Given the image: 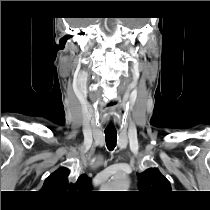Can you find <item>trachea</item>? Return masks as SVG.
<instances>
[{
    "instance_id": "3493384b",
    "label": "trachea",
    "mask_w": 210,
    "mask_h": 210,
    "mask_svg": "<svg viewBox=\"0 0 210 210\" xmlns=\"http://www.w3.org/2000/svg\"><path fill=\"white\" fill-rule=\"evenodd\" d=\"M106 146L109 150H113L117 142V132L116 131H105Z\"/></svg>"
}]
</instances>
